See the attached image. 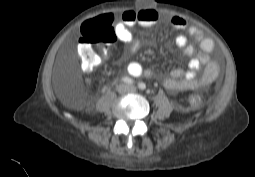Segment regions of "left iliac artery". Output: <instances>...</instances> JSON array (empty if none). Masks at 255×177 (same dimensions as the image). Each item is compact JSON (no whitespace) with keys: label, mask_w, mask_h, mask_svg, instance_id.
Returning <instances> with one entry per match:
<instances>
[{"label":"left iliac artery","mask_w":255,"mask_h":177,"mask_svg":"<svg viewBox=\"0 0 255 177\" xmlns=\"http://www.w3.org/2000/svg\"><path fill=\"white\" fill-rule=\"evenodd\" d=\"M138 88L140 90H144L146 88V85L144 83L140 82V83H138Z\"/></svg>","instance_id":"44dca946"}]
</instances>
